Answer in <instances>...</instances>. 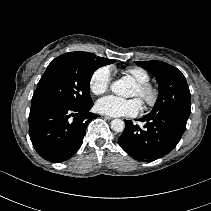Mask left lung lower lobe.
Masks as SVG:
<instances>
[{"mask_svg": "<svg viewBox=\"0 0 211 211\" xmlns=\"http://www.w3.org/2000/svg\"><path fill=\"white\" fill-rule=\"evenodd\" d=\"M144 129L125 121V130L118 138L120 146L138 160L154 161L170 153L180 141L187 121L166 113L148 114L140 119Z\"/></svg>", "mask_w": 211, "mask_h": 211, "instance_id": "1", "label": "left lung lower lobe"}]
</instances>
